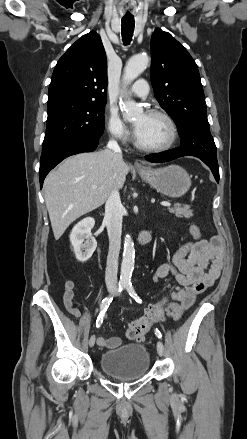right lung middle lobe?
Instances as JSON below:
<instances>
[{"mask_svg": "<svg viewBox=\"0 0 247 439\" xmlns=\"http://www.w3.org/2000/svg\"><path fill=\"white\" fill-rule=\"evenodd\" d=\"M106 101L65 100L48 105V118L42 150L80 141L99 139L104 131Z\"/></svg>", "mask_w": 247, "mask_h": 439, "instance_id": "right-lung-middle-lobe-1", "label": "right lung middle lobe"}]
</instances>
